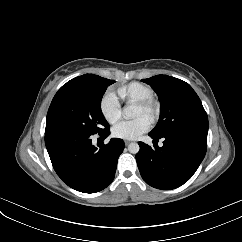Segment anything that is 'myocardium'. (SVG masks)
<instances>
[{"label": "myocardium", "instance_id": "f54148a6", "mask_svg": "<svg viewBox=\"0 0 242 242\" xmlns=\"http://www.w3.org/2000/svg\"><path fill=\"white\" fill-rule=\"evenodd\" d=\"M141 108L151 122H155L159 116L160 107L156 100L150 98L136 103Z\"/></svg>", "mask_w": 242, "mask_h": 242}]
</instances>
